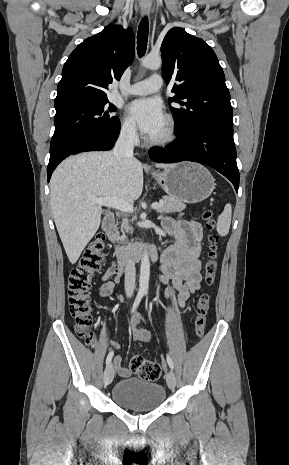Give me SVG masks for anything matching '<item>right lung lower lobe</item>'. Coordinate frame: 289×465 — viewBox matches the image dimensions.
<instances>
[{"instance_id": "right-lung-lower-lobe-1", "label": "right lung lower lobe", "mask_w": 289, "mask_h": 465, "mask_svg": "<svg viewBox=\"0 0 289 465\" xmlns=\"http://www.w3.org/2000/svg\"><path fill=\"white\" fill-rule=\"evenodd\" d=\"M120 131V124L118 128L109 134H88L77 138L70 144L57 150L55 153L50 154V160L47 167V179L48 182L51 178L52 172L55 170L57 165L64 160L66 157L85 151H101L110 150Z\"/></svg>"}]
</instances>
